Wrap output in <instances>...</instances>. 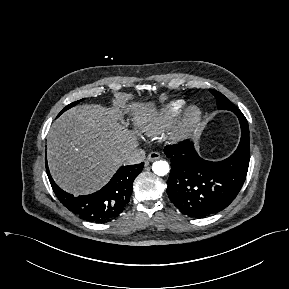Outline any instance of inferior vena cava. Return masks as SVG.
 <instances>
[{
	"instance_id": "inferior-vena-cava-1",
	"label": "inferior vena cava",
	"mask_w": 289,
	"mask_h": 289,
	"mask_svg": "<svg viewBox=\"0 0 289 289\" xmlns=\"http://www.w3.org/2000/svg\"><path fill=\"white\" fill-rule=\"evenodd\" d=\"M145 159V151L143 149H134L124 156L126 164H139Z\"/></svg>"
}]
</instances>
